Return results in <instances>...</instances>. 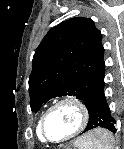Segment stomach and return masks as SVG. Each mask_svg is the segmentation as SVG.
<instances>
[{"label": "stomach", "mask_w": 124, "mask_h": 149, "mask_svg": "<svg viewBox=\"0 0 124 149\" xmlns=\"http://www.w3.org/2000/svg\"><path fill=\"white\" fill-rule=\"evenodd\" d=\"M99 132H100V129H96L94 131L89 132L88 134L84 135L81 139L76 141L73 146H69L67 149H82L83 142L89 138L96 137ZM72 147H74V148H72Z\"/></svg>", "instance_id": "0dacf381"}]
</instances>
